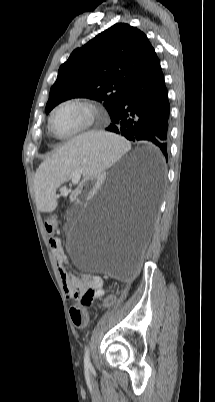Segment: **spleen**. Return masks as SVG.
<instances>
[{"instance_id":"obj_1","label":"spleen","mask_w":215,"mask_h":402,"mask_svg":"<svg viewBox=\"0 0 215 402\" xmlns=\"http://www.w3.org/2000/svg\"><path fill=\"white\" fill-rule=\"evenodd\" d=\"M129 142L107 133H84L65 144L37 172L39 188L36 191L41 211L57 210L54 194L57 186L75 173L95 175L97 170L111 166L124 152Z\"/></svg>"}]
</instances>
